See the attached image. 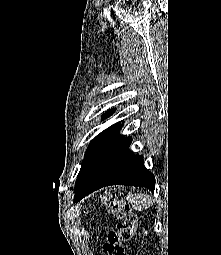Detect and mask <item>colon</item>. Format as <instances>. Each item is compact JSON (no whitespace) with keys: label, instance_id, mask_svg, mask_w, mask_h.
<instances>
[{"label":"colon","instance_id":"1","mask_svg":"<svg viewBox=\"0 0 221 255\" xmlns=\"http://www.w3.org/2000/svg\"><path fill=\"white\" fill-rule=\"evenodd\" d=\"M101 203L119 219L115 229L108 233L105 251L107 255H127L125 244L132 238L136 216L128 203L113 194L102 195Z\"/></svg>","mask_w":221,"mask_h":255}]
</instances>
